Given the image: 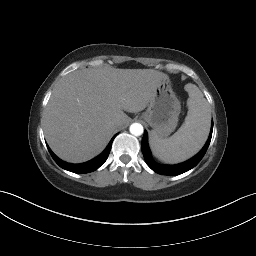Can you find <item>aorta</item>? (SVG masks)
<instances>
[{
	"mask_svg": "<svg viewBox=\"0 0 256 256\" xmlns=\"http://www.w3.org/2000/svg\"><path fill=\"white\" fill-rule=\"evenodd\" d=\"M143 126L140 123H133L130 126V133L135 136H140L143 134Z\"/></svg>",
	"mask_w": 256,
	"mask_h": 256,
	"instance_id": "aorta-1",
	"label": "aorta"
}]
</instances>
